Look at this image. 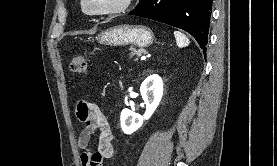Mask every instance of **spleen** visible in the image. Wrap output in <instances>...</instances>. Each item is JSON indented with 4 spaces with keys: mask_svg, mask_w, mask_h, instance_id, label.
<instances>
[{
    "mask_svg": "<svg viewBox=\"0 0 277 166\" xmlns=\"http://www.w3.org/2000/svg\"><path fill=\"white\" fill-rule=\"evenodd\" d=\"M174 36L178 47L183 48L190 44L188 37L180 31H174Z\"/></svg>",
    "mask_w": 277,
    "mask_h": 166,
    "instance_id": "obj_1",
    "label": "spleen"
}]
</instances>
